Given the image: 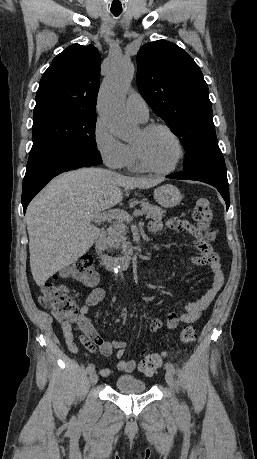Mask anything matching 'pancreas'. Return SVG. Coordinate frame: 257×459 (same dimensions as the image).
I'll return each instance as SVG.
<instances>
[{
  "instance_id": "1",
  "label": "pancreas",
  "mask_w": 257,
  "mask_h": 459,
  "mask_svg": "<svg viewBox=\"0 0 257 459\" xmlns=\"http://www.w3.org/2000/svg\"><path fill=\"white\" fill-rule=\"evenodd\" d=\"M142 211L146 214L147 217L153 220H161L164 216L165 211L160 207L153 205L149 202H140ZM127 227L123 221H115L106 231V235L103 241V246L106 249L111 248H122L128 249L130 243L127 241Z\"/></svg>"
}]
</instances>
